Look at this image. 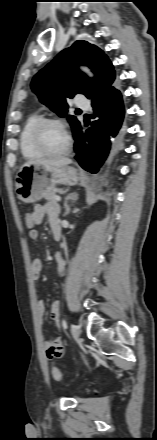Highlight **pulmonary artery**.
<instances>
[{
    "mask_svg": "<svg viewBox=\"0 0 157 440\" xmlns=\"http://www.w3.org/2000/svg\"><path fill=\"white\" fill-rule=\"evenodd\" d=\"M74 102L77 106L82 107V108H89L90 107V104H89L88 100L86 99V97L81 94L76 96Z\"/></svg>",
    "mask_w": 157,
    "mask_h": 440,
    "instance_id": "pulmonary-artery-1",
    "label": "pulmonary artery"
}]
</instances>
